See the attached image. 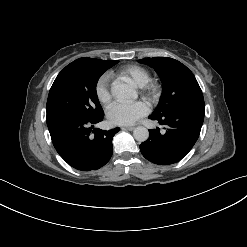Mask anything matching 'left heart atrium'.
Wrapping results in <instances>:
<instances>
[{
    "mask_svg": "<svg viewBox=\"0 0 247 247\" xmlns=\"http://www.w3.org/2000/svg\"><path fill=\"white\" fill-rule=\"evenodd\" d=\"M148 105L144 101H118L108 109V118L117 125H130L147 114Z\"/></svg>",
    "mask_w": 247,
    "mask_h": 247,
    "instance_id": "39dd6f15",
    "label": "left heart atrium"
}]
</instances>
